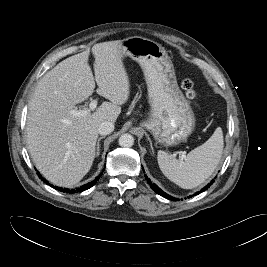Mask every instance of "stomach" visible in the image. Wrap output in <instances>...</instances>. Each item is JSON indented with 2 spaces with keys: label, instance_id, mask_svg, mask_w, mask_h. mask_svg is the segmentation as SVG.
I'll return each instance as SVG.
<instances>
[{
  "label": "stomach",
  "instance_id": "0dacf381",
  "mask_svg": "<svg viewBox=\"0 0 267 267\" xmlns=\"http://www.w3.org/2000/svg\"><path fill=\"white\" fill-rule=\"evenodd\" d=\"M120 53L137 61L145 76L150 113L142 125L161 144L185 142L195 129L196 118L178 86L173 63L164 47L134 36L121 41Z\"/></svg>",
  "mask_w": 267,
  "mask_h": 267
}]
</instances>
